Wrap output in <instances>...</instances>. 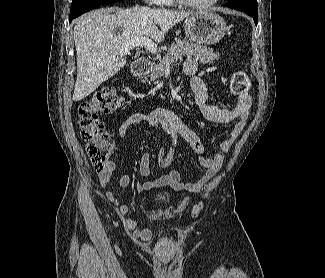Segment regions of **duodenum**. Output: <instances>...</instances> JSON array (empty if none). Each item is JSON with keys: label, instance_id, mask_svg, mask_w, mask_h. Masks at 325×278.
<instances>
[{"label": "duodenum", "instance_id": "410a0bca", "mask_svg": "<svg viewBox=\"0 0 325 278\" xmlns=\"http://www.w3.org/2000/svg\"><path fill=\"white\" fill-rule=\"evenodd\" d=\"M150 66V60L147 58H138L133 64V74L136 77H143Z\"/></svg>", "mask_w": 325, "mask_h": 278}]
</instances>
